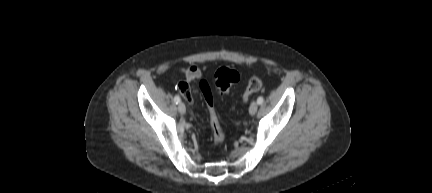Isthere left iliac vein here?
Wrapping results in <instances>:
<instances>
[{
  "label": "left iliac vein",
  "instance_id": "left-iliac-vein-1",
  "mask_svg": "<svg viewBox=\"0 0 432 193\" xmlns=\"http://www.w3.org/2000/svg\"><path fill=\"white\" fill-rule=\"evenodd\" d=\"M257 110H258V103L255 102V101H253V102L250 104V107H249V113H250L251 115H254V114L257 112Z\"/></svg>",
  "mask_w": 432,
  "mask_h": 193
}]
</instances>
